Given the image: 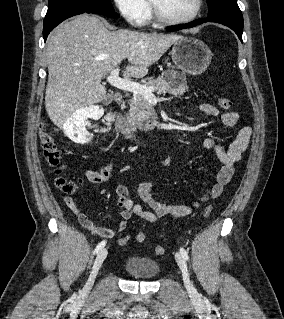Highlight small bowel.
<instances>
[{"mask_svg": "<svg viewBox=\"0 0 284 319\" xmlns=\"http://www.w3.org/2000/svg\"><path fill=\"white\" fill-rule=\"evenodd\" d=\"M200 110L209 116H220L221 122L226 127H234L239 121V115L235 112H225L220 114L219 110L210 103L200 105ZM251 137V129L249 127L240 128L231 144L223 146L216 143L213 139L207 138L203 141V147L206 150L213 152L222 167L219 170L216 182L207 190V192L193 201L191 205H166L155 198L153 187L150 183H142L138 187V194L141 200L148 206L144 208L138 203H135L129 198L128 188L124 185H119L116 188L117 204L120 209L121 220L115 228H105L95 225L88 215L81 211L70 196H65L64 201L68 208L76 214L80 224L94 235L103 238H111L115 234L125 230L127 222L135 215L141 219L155 223L164 217H183L192 212L199 206L202 201L213 200L218 198L224 187L231 181L234 174V165L238 162L246 151ZM67 165L63 164L59 167L60 170L66 169ZM85 176L92 183H103L110 178V171L105 169L102 171H94L86 169Z\"/></svg>", "mask_w": 284, "mask_h": 319, "instance_id": "small-bowel-1", "label": "small bowel"}]
</instances>
